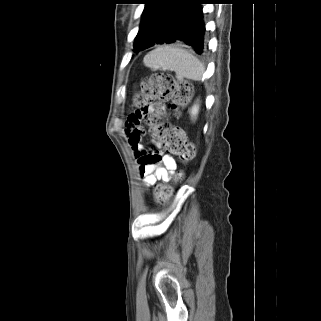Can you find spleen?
I'll return each instance as SVG.
<instances>
[{"mask_svg": "<svg viewBox=\"0 0 321 321\" xmlns=\"http://www.w3.org/2000/svg\"><path fill=\"white\" fill-rule=\"evenodd\" d=\"M143 63L153 71H175L177 78L201 80L205 71L203 63L180 45H161L145 55Z\"/></svg>", "mask_w": 321, "mask_h": 321, "instance_id": "1", "label": "spleen"}]
</instances>
